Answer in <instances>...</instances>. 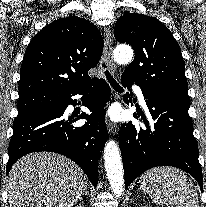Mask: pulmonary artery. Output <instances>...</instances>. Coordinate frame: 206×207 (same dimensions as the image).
I'll return each instance as SVG.
<instances>
[{
    "instance_id": "e3ab8cb5",
    "label": "pulmonary artery",
    "mask_w": 206,
    "mask_h": 207,
    "mask_svg": "<svg viewBox=\"0 0 206 207\" xmlns=\"http://www.w3.org/2000/svg\"><path fill=\"white\" fill-rule=\"evenodd\" d=\"M134 90H135V93H136V95H137L140 103L143 104V105H145V98H144V94H143L142 89L140 87L136 86L134 88Z\"/></svg>"
}]
</instances>
